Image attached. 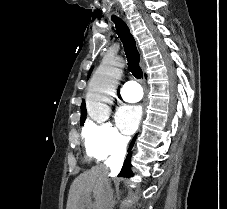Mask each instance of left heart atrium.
Returning <instances> with one entry per match:
<instances>
[{
  "label": "left heart atrium",
  "instance_id": "left-heart-atrium-1",
  "mask_svg": "<svg viewBox=\"0 0 227 209\" xmlns=\"http://www.w3.org/2000/svg\"><path fill=\"white\" fill-rule=\"evenodd\" d=\"M141 116V105L122 104L117 110L116 122L124 134L131 135L137 129Z\"/></svg>",
  "mask_w": 227,
  "mask_h": 209
}]
</instances>
